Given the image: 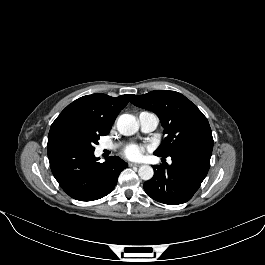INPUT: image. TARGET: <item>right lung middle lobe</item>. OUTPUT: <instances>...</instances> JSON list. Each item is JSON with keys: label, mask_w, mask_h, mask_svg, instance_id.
Listing matches in <instances>:
<instances>
[{"label": "right lung middle lobe", "mask_w": 265, "mask_h": 265, "mask_svg": "<svg viewBox=\"0 0 265 265\" xmlns=\"http://www.w3.org/2000/svg\"><path fill=\"white\" fill-rule=\"evenodd\" d=\"M104 135L107 134L83 125L66 124L60 126L52 133L50 145L51 147L71 146L94 151V146L98 144L100 136Z\"/></svg>", "instance_id": "right-lung-middle-lobe-1"}]
</instances>
